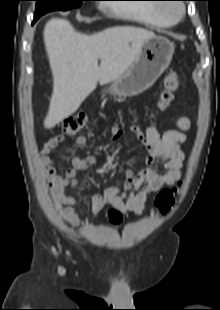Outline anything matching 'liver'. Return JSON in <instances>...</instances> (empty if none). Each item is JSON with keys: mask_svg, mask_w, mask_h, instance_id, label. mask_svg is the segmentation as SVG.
Returning <instances> with one entry per match:
<instances>
[{"mask_svg": "<svg viewBox=\"0 0 220 310\" xmlns=\"http://www.w3.org/2000/svg\"><path fill=\"white\" fill-rule=\"evenodd\" d=\"M147 29L117 26L93 35L80 33L65 19H51L44 44L53 75V92L44 127L50 129L72 115L94 91L120 77L139 55ZM101 60L98 66V60Z\"/></svg>", "mask_w": 220, "mask_h": 310, "instance_id": "1", "label": "liver"}]
</instances>
